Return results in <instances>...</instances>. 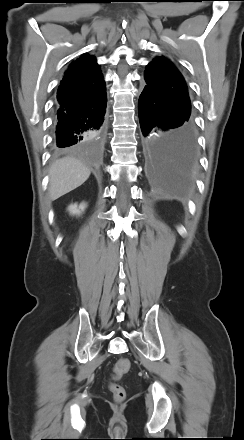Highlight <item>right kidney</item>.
I'll use <instances>...</instances> for the list:
<instances>
[{"label":"right kidney","instance_id":"obj_1","mask_svg":"<svg viewBox=\"0 0 244 440\" xmlns=\"http://www.w3.org/2000/svg\"><path fill=\"white\" fill-rule=\"evenodd\" d=\"M86 208V204L82 203L79 206L77 204L70 205L68 211L73 215H80Z\"/></svg>","mask_w":244,"mask_h":440}]
</instances>
